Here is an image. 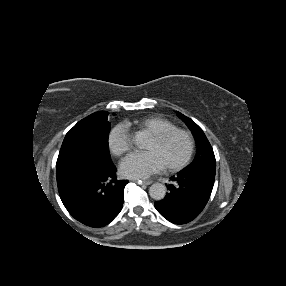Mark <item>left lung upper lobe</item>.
Listing matches in <instances>:
<instances>
[{"instance_id": "left-lung-upper-lobe-1", "label": "left lung upper lobe", "mask_w": 286, "mask_h": 286, "mask_svg": "<svg viewBox=\"0 0 286 286\" xmlns=\"http://www.w3.org/2000/svg\"><path fill=\"white\" fill-rule=\"evenodd\" d=\"M176 113L191 129L195 135L198 146L195 159L191 164L185 167L184 170H191L200 167H216L213 149L202 129L192 119L186 117L178 111Z\"/></svg>"}]
</instances>
